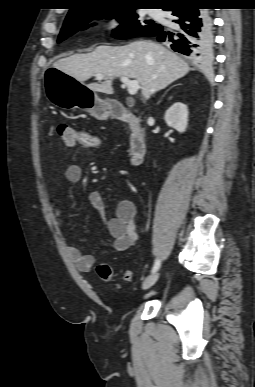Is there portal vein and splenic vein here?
<instances>
[{"label":"portal vein and splenic vein","mask_w":255,"mask_h":387,"mask_svg":"<svg viewBox=\"0 0 255 387\" xmlns=\"http://www.w3.org/2000/svg\"><path fill=\"white\" fill-rule=\"evenodd\" d=\"M103 77L104 76L102 74L96 75L97 79H102ZM120 80L123 84L127 86V90L130 95H135L138 92L140 85L137 80H130L127 77H120Z\"/></svg>","instance_id":"portal-vein-and-splenic-vein-1"}]
</instances>
